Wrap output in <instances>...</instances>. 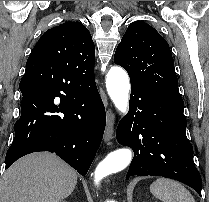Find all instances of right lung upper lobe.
Instances as JSON below:
<instances>
[{
	"instance_id": "right-lung-upper-lobe-1",
	"label": "right lung upper lobe",
	"mask_w": 209,
	"mask_h": 202,
	"mask_svg": "<svg viewBox=\"0 0 209 202\" xmlns=\"http://www.w3.org/2000/svg\"><path fill=\"white\" fill-rule=\"evenodd\" d=\"M95 46L80 22H65L47 30L33 48L26 69L44 68L63 86L77 90L95 83Z\"/></svg>"
}]
</instances>
